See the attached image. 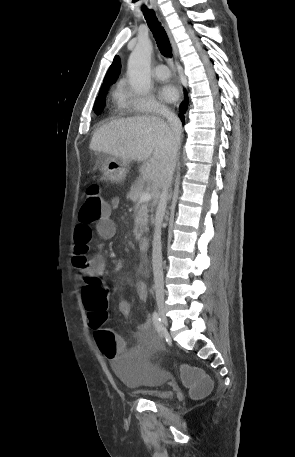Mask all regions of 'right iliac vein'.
<instances>
[{
	"label": "right iliac vein",
	"mask_w": 295,
	"mask_h": 457,
	"mask_svg": "<svg viewBox=\"0 0 295 457\" xmlns=\"http://www.w3.org/2000/svg\"><path fill=\"white\" fill-rule=\"evenodd\" d=\"M157 309H158V313H159V316L162 320V323L165 327H167L168 325V320H167V317H166V309H165V305H164V302L162 300H158L157 301Z\"/></svg>",
	"instance_id": "1"
}]
</instances>
